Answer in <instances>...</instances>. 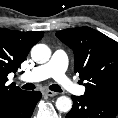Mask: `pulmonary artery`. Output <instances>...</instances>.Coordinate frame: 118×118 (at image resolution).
Segmentation results:
<instances>
[{"label": "pulmonary artery", "instance_id": "pulmonary-artery-1", "mask_svg": "<svg viewBox=\"0 0 118 118\" xmlns=\"http://www.w3.org/2000/svg\"><path fill=\"white\" fill-rule=\"evenodd\" d=\"M68 67V57L61 51L57 50L53 53L51 59L42 65L36 66L32 70L25 72L21 76V80L27 82H38L47 78H53L59 85L68 91L74 92L78 95L85 93V87L78 86L66 76Z\"/></svg>", "mask_w": 118, "mask_h": 118}]
</instances>
